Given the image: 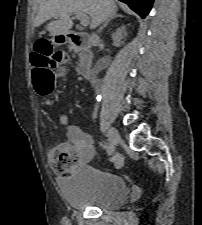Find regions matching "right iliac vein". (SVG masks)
I'll list each match as a JSON object with an SVG mask.
<instances>
[{
	"mask_svg": "<svg viewBox=\"0 0 202 225\" xmlns=\"http://www.w3.org/2000/svg\"><path fill=\"white\" fill-rule=\"evenodd\" d=\"M107 136H108V140L110 142V145L112 147V150L115 148V146L119 143L120 141V135L118 133V131L113 128V127H110L108 129V132H107Z\"/></svg>",
	"mask_w": 202,
	"mask_h": 225,
	"instance_id": "right-iliac-vein-1",
	"label": "right iliac vein"
}]
</instances>
